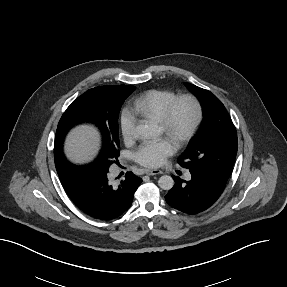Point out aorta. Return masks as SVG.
<instances>
[{"label": "aorta", "instance_id": "1", "mask_svg": "<svg viewBox=\"0 0 287 287\" xmlns=\"http://www.w3.org/2000/svg\"><path fill=\"white\" fill-rule=\"evenodd\" d=\"M156 132V127L151 124H140L136 127V133L141 137H150ZM158 185L163 190H170L174 186V180L169 175H163L158 180Z\"/></svg>", "mask_w": 287, "mask_h": 287}]
</instances>
